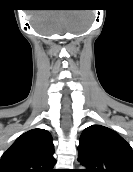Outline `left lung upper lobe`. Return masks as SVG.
<instances>
[{
    "label": "left lung upper lobe",
    "instance_id": "obj_1",
    "mask_svg": "<svg viewBox=\"0 0 133 172\" xmlns=\"http://www.w3.org/2000/svg\"><path fill=\"white\" fill-rule=\"evenodd\" d=\"M81 172H133L130 145L115 131L101 125L87 127L80 138Z\"/></svg>",
    "mask_w": 133,
    "mask_h": 172
}]
</instances>
